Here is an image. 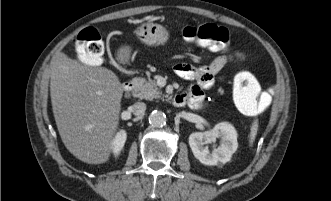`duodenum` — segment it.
<instances>
[{
  "label": "duodenum",
  "instance_id": "1",
  "mask_svg": "<svg viewBox=\"0 0 331 201\" xmlns=\"http://www.w3.org/2000/svg\"><path fill=\"white\" fill-rule=\"evenodd\" d=\"M134 87V83L132 81H125L123 84H122V90L125 92V93H129ZM182 97L181 95H174L172 97V103L173 105L175 106H180L182 105Z\"/></svg>",
  "mask_w": 331,
  "mask_h": 201
}]
</instances>
